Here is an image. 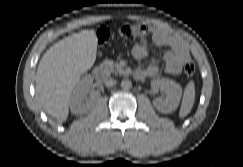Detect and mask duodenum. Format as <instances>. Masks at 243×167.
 <instances>
[{
	"label": "duodenum",
	"mask_w": 243,
	"mask_h": 167,
	"mask_svg": "<svg viewBox=\"0 0 243 167\" xmlns=\"http://www.w3.org/2000/svg\"><path fill=\"white\" fill-rule=\"evenodd\" d=\"M93 76L97 81H102L104 79V70L101 66H96L93 69Z\"/></svg>",
	"instance_id": "duodenum-1"
}]
</instances>
